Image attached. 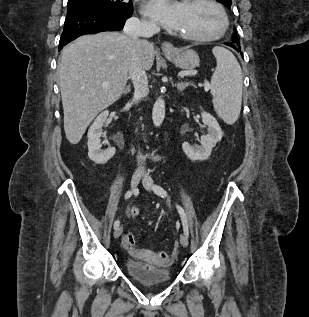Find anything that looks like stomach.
<instances>
[{"label": "stomach", "mask_w": 309, "mask_h": 317, "mask_svg": "<svg viewBox=\"0 0 309 317\" xmlns=\"http://www.w3.org/2000/svg\"><path fill=\"white\" fill-rule=\"evenodd\" d=\"M165 56L183 70L194 69L200 62L198 54L192 49H175L173 52H165Z\"/></svg>", "instance_id": "stomach-1"}]
</instances>
